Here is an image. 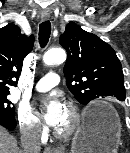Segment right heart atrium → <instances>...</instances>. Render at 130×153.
Instances as JSON below:
<instances>
[{"instance_id": "right-heart-atrium-1", "label": "right heart atrium", "mask_w": 130, "mask_h": 153, "mask_svg": "<svg viewBox=\"0 0 130 153\" xmlns=\"http://www.w3.org/2000/svg\"><path fill=\"white\" fill-rule=\"evenodd\" d=\"M19 129L23 136L33 139L41 138L43 125L39 118L35 116L27 107H20L17 112Z\"/></svg>"}]
</instances>
